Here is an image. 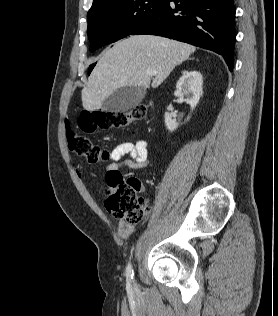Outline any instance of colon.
I'll return each instance as SVG.
<instances>
[{
	"mask_svg": "<svg viewBox=\"0 0 278 316\" xmlns=\"http://www.w3.org/2000/svg\"><path fill=\"white\" fill-rule=\"evenodd\" d=\"M147 108L138 106L130 111L104 113L84 111L78 118V127L83 132L98 129L121 128L145 117ZM67 141L70 150L85 157L91 163L107 161L109 152L95 145L88 137L75 134L67 128ZM107 192L105 206L110 214L127 224H137L148 213L146 201L139 196L140 181L136 178L124 179L119 171L106 174Z\"/></svg>",
	"mask_w": 278,
	"mask_h": 316,
	"instance_id": "1",
	"label": "colon"
}]
</instances>
